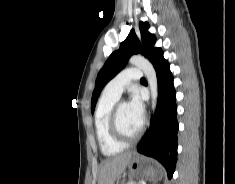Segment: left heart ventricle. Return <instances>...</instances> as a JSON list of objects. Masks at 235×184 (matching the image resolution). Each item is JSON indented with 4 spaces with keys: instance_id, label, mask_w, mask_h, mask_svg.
<instances>
[{
    "instance_id": "b2bd125f",
    "label": "left heart ventricle",
    "mask_w": 235,
    "mask_h": 184,
    "mask_svg": "<svg viewBox=\"0 0 235 184\" xmlns=\"http://www.w3.org/2000/svg\"><path fill=\"white\" fill-rule=\"evenodd\" d=\"M143 120L137 119L129 110L127 104H123L119 110V124L123 133L129 137L135 136L141 126Z\"/></svg>"
}]
</instances>
